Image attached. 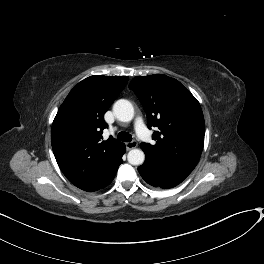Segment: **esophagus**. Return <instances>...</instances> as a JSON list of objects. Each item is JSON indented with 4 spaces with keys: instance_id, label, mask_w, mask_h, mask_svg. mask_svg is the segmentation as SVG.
<instances>
[{
    "instance_id": "34e87169",
    "label": "esophagus",
    "mask_w": 264,
    "mask_h": 264,
    "mask_svg": "<svg viewBox=\"0 0 264 264\" xmlns=\"http://www.w3.org/2000/svg\"><path fill=\"white\" fill-rule=\"evenodd\" d=\"M138 146V144H137V142L136 141H131V142H128L127 144H126V147H127V149H134V148H136Z\"/></svg>"
}]
</instances>
